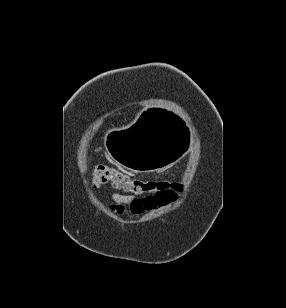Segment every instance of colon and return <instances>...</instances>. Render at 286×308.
<instances>
[{
    "label": "colon",
    "instance_id": "1",
    "mask_svg": "<svg viewBox=\"0 0 286 308\" xmlns=\"http://www.w3.org/2000/svg\"><path fill=\"white\" fill-rule=\"evenodd\" d=\"M91 178L94 186L110 185L114 189L135 196L159 197L171 189L179 188V184L169 181L133 178L106 164L94 168Z\"/></svg>",
    "mask_w": 286,
    "mask_h": 308
}]
</instances>
